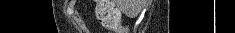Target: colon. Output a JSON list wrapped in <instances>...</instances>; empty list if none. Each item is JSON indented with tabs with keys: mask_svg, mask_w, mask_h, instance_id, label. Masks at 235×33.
<instances>
[{
	"mask_svg": "<svg viewBox=\"0 0 235 33\" xmlns=\"http://www.w3.org/2000/svg\"><path fill=\"white\" fill-rule=\"evenodd\" d=\"M96 16L104 27L120 31L121 12L113 1L99 0Z\"/></svg>",
	"mask_w": 235,
	"mask_h": 33,
	"instance_id": "5ec220e1",
	"label": "colon"
}]
</instances>
